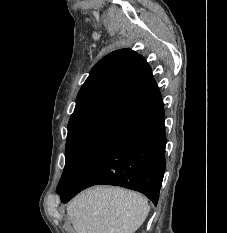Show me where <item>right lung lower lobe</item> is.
I'll return each instance as SVG.
<instances>
[{
	"instance_id": "obj_1",
	"label": "right lung lower lobe",
	"mask_w": 227,
	"mask_h": 233,
	"mask_svg": "<svg viewBox=\"0 0 227 233\" xmlns=\"http://www.w3.org/2000/svg\"><path fill=\"white\" fill-rule=\"evenodd\" d=\"M164 120L162 108L117 134L71 187L57 192L61 201L92 185L107 184L139 191L156 205L166 167Z\"/></svg>"
}]
</instances>
